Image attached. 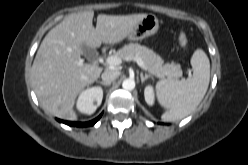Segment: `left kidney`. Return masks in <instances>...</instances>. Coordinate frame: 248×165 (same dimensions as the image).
Here are the masks:
<instances>
[{
	"instance_id": "5707ae66",
	"label": "left kidney",
	"mask_w": 248,
	"mask_h": 165,
	"mask_svg": "<svg viewBox=\"0 0 248 165\" xmlns=\"http://www.w3.org/2000/svg\"><path fill=\"white\" fill-rule=\"evenodd\" d=\"M144 96L145 101L148 105L152 106L155 102V94H154V88L151 85H148L144 89Z\"/></svg>"
}]
</instances>
